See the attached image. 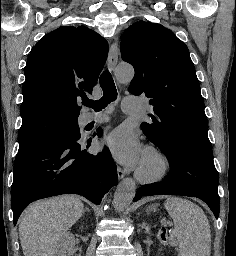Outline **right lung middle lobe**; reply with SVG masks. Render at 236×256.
<instances>
[{
	"mask_svg": "<svg viewBox=\"0 0 236 256\" xmlns=\"http://www.w3.org/2000/svg\"><path fill=\"white\" fill-rule=\"evenodd\" d=\"M58 136L80 137L78 119L53 111L34 114L22 120L18 134L19 151Z\"/></svg>",
	"mask_w": 236,
	"mask_h": 256,
	"instance_id": "dd1d6c3e",
	"label": "right lung middle lobe"
}]
</instances>
